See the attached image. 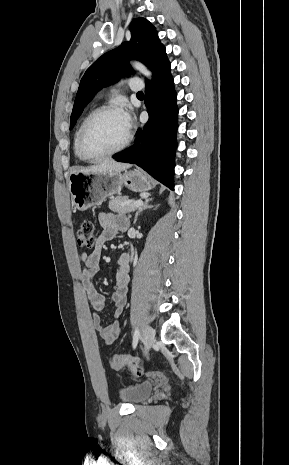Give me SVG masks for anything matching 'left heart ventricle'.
I'll return each mask as SVG.
<instances>
[{
  "label": "left heart ventricle",
  "mask_w": 289,
  "mask_h": 465,
  "mask_svg": "<svg viewBox=\"0 0 289 465\" xmlns=\"http://www.w3.org/2000/svg\"><path fill=\"white\" fill-rule=\"evenodd\" d=\"M127 134L120 112L102 113L90 125L86 149L94 155L115 149L125 141Z\"/></svg>",
  "instance_id": "b2bd125f"
}]
</instances>
